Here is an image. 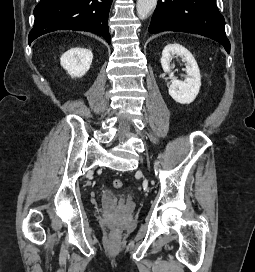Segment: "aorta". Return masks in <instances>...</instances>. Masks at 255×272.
I'll use <instances>...</instances> for the list:
<instances>
[{
    "mask_svg": "<svg viewBox=\"0 0 255 272\" xmlns=\"http://www.w3.org/2000/svg\"><path fill=\"white\" fill-rule=\"evenodd\" d=\"M157 0H137V14L140 18H147L155 8Z\"/></svg>",
    "mask_w": 255,
    "mask_h": 272,
    "instance_id": "aorta-1",
    "label": "aorta"
}]
</instances>
